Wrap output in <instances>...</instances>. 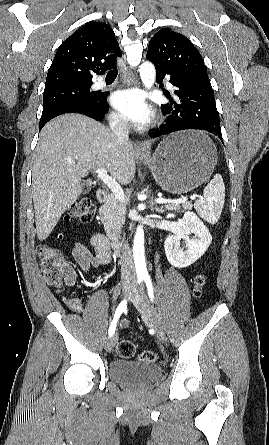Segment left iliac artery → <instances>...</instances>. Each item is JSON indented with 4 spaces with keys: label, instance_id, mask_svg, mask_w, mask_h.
<instances>
[{
    "label": "left iliac artery",
    "instance_id": "44dca946",
    "mask_svg": "<svg viewBox=\"0 0 269 445\" xmlns=\"http://www.w3.org/2000/svg\"><path fill=\"white\" fill-rule=\"evenodd\" d=\"M144 281L146 283L149 298L151 299L152 302H154V291H153L152 281L148 275L144 277Z\"/></svg>",
    "mask_w": 269,
    "mask_h": 445
}]
</instances>
